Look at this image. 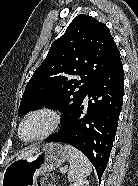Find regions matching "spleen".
Returning a JSON list of instances; mask_svg holds the SVG:
<instances>
[{
    "instance_id": "obj_1",
    "label": "spleen",
    "mask_w": 138,
    "mask_h": 186,
    "mask_svg": "<svg viewBox=\"0 0 138 186\" xmlns=\"http://www.w3.org/2000/svg\"><path fill=\"white\" fill-rule=\"evenodd\" d=\"M70 156L69 181H79L88 176L92 171V165L86 156L71 145L64 147Z\"/></svg>"
}]
</instances>
